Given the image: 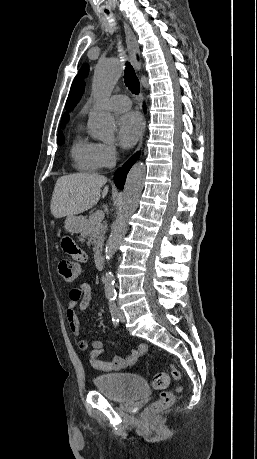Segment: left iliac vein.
I'll return each mask as SVG.
<instances>
[{
    "label": "left iliac vein",
    "mask_w": 257,
    "mask_h": 459,
    "mask_svg": "<svg viewBox=\"0 0 257 459\" xmlns=\"http://www.w3.org/2000/svg\"><path fill=\"white\" fill-rule=\"evenodd\" d=\"M119 318L121 322H125L126 318L122 309L118 308Z\"/></svg>",
    "instance_id": "left-iliac-vein-1"
}]
</instances>
